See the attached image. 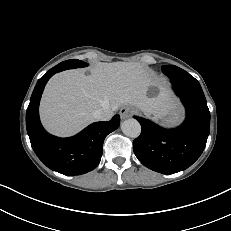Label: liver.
<instances>
[{"label":"liver","mask_w":231,"mask_h":231,"mask_svg":"<svg viewBox=\"0 0 231 231\" xmlns=\"http://www.w3.org/2000/svg\"><path fill=\"white\" fill-rule=\"evenodd\" d=\"M150 86L159 88L157 96H147ZM123 105L162 117L175 104L166 81L143 65L99 63L90 75L78 69L55 74L45 87L40 116L49 132L70 136L94 122L96 110L103 107L116 110Z\"/></svg>","instance_id":"6515ba94"}]
</instances>
